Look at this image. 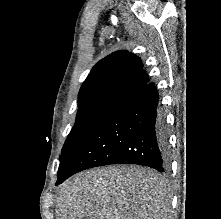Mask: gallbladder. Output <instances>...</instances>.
Here are the masks:
<instances>
[{"mask_svg": "<svg viewBox=\"0 0 221 219\" xmlns=\"http://www.w3.org/2000/svg\"><path fill=\"white\" fill-rule=\"evenodd\" d=\"M84 219H90L89 217H84Z\"/></svg>", "mask_w": 221, "mask_h": 219, "instance_id": "bac80fb5", "label": "gallbladder"}]
</instances>
